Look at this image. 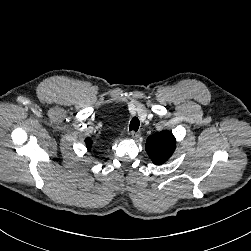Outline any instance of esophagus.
<instances>
[{
    "mask_svg": "<svg viewBox=\"0 0 251 251\" xmlns=\"http://www.w3.org/2000/svg\"><path fill=\"white\" fill-rule=\"evenodd\" d=\"M131 136H132V138L137 139V138H139L140 133H139V132L132 131V132H131Z\"/></svg>",
    "mask_w": 251,
    "mask_h": 251,
    "instance_id": "34e87169",
    "label": "esophagus"
}]
</instances>
